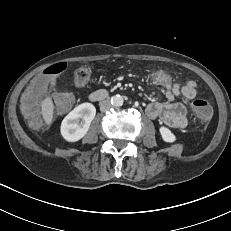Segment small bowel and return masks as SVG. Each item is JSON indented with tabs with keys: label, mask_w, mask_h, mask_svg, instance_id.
Instances as JSON below:
<instances>
[{
	"label": "small bowel",
	"mask_w": 231,
	"mask_h": 231,
	"mask_svg": "<svg viewBox=\"0 0 231 231\" xmlns=\"http://www.w3.org/2000/svg\"><path fill=\"white\" fill-rule=\"evenodd\" d=\"M162 88L165 100L154 101L147 105L146 114L151 119L158 118L160 122L173 129H182L187 125V107L184 103L177 101L183 97L192 100L196 96V84L188 81L179 86L172 83L170 86L158 85Z\"/></svg>",
	"instance_id": "obj_1"
}]
</instances>
